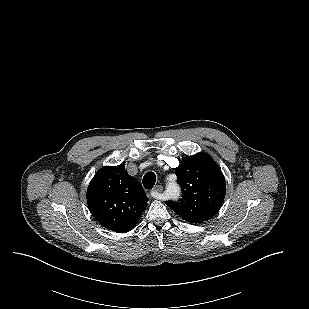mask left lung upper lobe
<instances>
[{
  "label": "left lung upper lobe",
  "instance_id": "left-lung-upper-lobe-1",
  "mask_svg": "<svg viewBox=\"0 0 309 309\" xmlns=\"http://www.w3.org/2000/svg\"><path fill=\"white\" fill-rule=\"evenodd\" d=\"M175 173L182 199L166 204L191 224L213 217L222 206L226 192L225 178L215 161L208 154L198 153L184 158Z\"/></svg>",
  "mask_w": 309,
  "mask_h": 309
}]
</instances>
